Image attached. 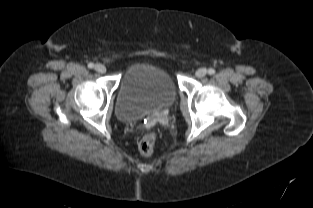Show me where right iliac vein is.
Here are the masks:
<instances>
[{"label":"right iliac vein","instance_id":"63e3f726","mask_svg":"<svg viewBox=\"0 0 313 208\" xmlns=\"http://www.w3.org/2000/svg\"><path fill=\"white\" fill-rule=\"evenodd\" d=\"M95 70L98 73H105L106 72V67L103 64H96L95 65Z\"/></svg>","mask_w":313,"mask_h":208}]
</instances>
